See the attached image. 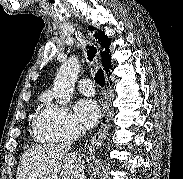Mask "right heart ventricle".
<instances>
[{
  "instance_id": "1",
  "label": "right heart ventricle",
  "mask_w": 183,
  "mask_h": 179,
  "mask_svg": "<svg viewBox=\"0 0 183 179\" xmlns=\"http://www.w3.org/2000/svg\"><path fill=\"white\" fill-rule=\"evenodd\" d=\"M41 115V114H40ZM40 115L35 119V121H34V125L36 124V122L38 121V119H39V117H40ZM41 139L43 140V141H46L47 139L45 138V137H41Z\"/></svg>"
}]
</instances>
